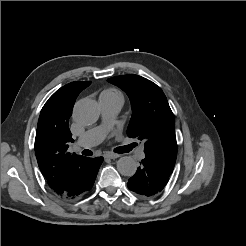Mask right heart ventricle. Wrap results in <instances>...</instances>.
Here are the masks:
<instances>
[{"instance_id":"right-heart-ventricle-1","label":"right heart ventricle","mask_w":246,"mask_h":246,"mask_svg":"<svg viewBox=\"0 0 246 246\" xmlns=\"http://www.w3.org/2000/svg\"><path fill=\"white\" fill-rule=\"evenodd\" d=\"M101 95L109 96V97H120L123 99L122 93L119 90L114 89V88H109V89L104 90Z\"/></svg>"}]
</instances>
